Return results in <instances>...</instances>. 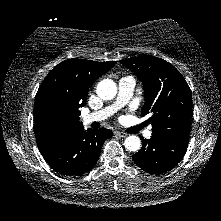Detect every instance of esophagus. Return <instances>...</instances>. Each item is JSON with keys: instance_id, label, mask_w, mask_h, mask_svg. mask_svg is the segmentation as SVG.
<instances>
[{"instance_id": "1", "label": "esophagus", "mask_w": 221, "mask_h": 221, "mask_svg": "<svg viewBox=\"0 0 221 221\" xmlns=\"http://www.w3.org/2000/svg\"><path fill=\"white\" fill-rule=\"evenodd\" d=\"M114 134L119 137H126L127 134L123 131H115Z\"/></svg>"}]
</instances>
